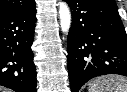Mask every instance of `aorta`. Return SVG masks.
<instances>
[{
    "label": "aorta",
    "mask_w": 127,
    "mask_h": 92,
    "mask_svg": "<svg viewBox=\"0 0 127 92\" xmlns=\"http://www.w3.org/2000/svg\"><path fill=\"white\" fill-rule=\"evenodd\" d=\"M59 17L61 30L64 33H68L71 26V13L65 2H60L59 4Z\"/></svg>",
    "instance_id": "aorta-1"
}]
</instances>
